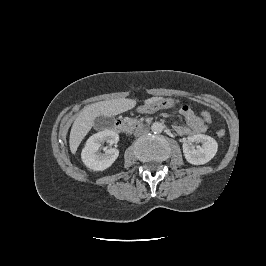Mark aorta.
<instances>
[{"label":"aorta","mask_w":266,"mask_h":266,"mask_svg":"<svg viewBox=\"0 0 266 266\" xmlns=\"http://www.w3.org/2000/svg\"><path fill=\"white\" fill-rule=\"evenodd\" d=\"M163 129H164V126L160 122H154L151 126V130L153 133L159 134L163 131Z\"/></svg>","instance_id":"1"}]
</instances>
